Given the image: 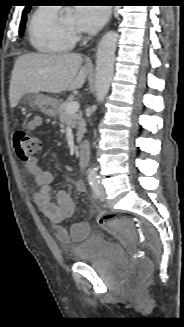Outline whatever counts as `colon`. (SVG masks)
<instances>
[{
    "instance_id": "5ec220e1",
    "label": "colon",
    "mask_w": 184,
    "mask_h": 327,
    "mask_svg": "<svg viewBox=\"0 0 184 327\" xmlns=\"http://www.w3.org/2000/svg\"><path fill=\"white\" fill-rule=\"evenodd\" d=\"M13 146L18 158L24 162L34 158L41 150L40 140L24 130L14 132ZM97 221L101 227L127 242H153L152 233L139 218H132L128 214L104 213L98 217ZM150 271V262L142 254H138L130 274V286L138 290L149 276Z\"/></svg>"
}]
</instances>
